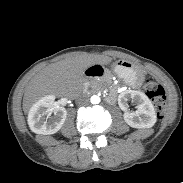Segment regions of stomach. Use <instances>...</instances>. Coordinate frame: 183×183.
Listing matches in <instances>:
<instances>
[{
  "label": "stomach",
  "instance_id": "1",
  "mask_svg": "<svg viewBox=\"0 0 183 183\" xmlns=\"http://www.w3.org/2000/svg\"><path fill=\"white\" fill-rule=\"evenodd\" d=\"M115 73L131 86H138L144 79L143 69L127 60H118L113 64Z\"/></svg>",
  "mask_w": 183,
  "mask_h": 183
}]
</instances>
